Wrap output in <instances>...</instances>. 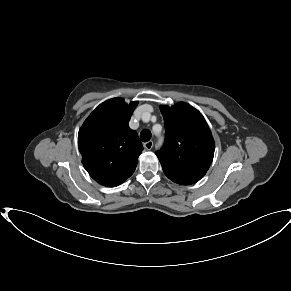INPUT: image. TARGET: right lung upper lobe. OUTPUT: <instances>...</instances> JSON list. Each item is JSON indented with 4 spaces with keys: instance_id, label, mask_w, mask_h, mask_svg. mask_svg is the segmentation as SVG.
I'll list each match as a JSON object with an SVG mask.
<instances>
[{
    "instance_id": "cb5924a9",
    "label": "right lung upper lobe",
    "mask_w": 291,
    "mask_h": 291,
    "mask_svg": "<svg viewBox=\"0 0 291 291\" xmlns=\"http://www.w3.org/2000/svg\"><path fill=\"white\" fill-rule=\"evenodd\" d=\"M137 101L112 98L100 104L78 133L82 162L99 184L115 187L129 178L142 153L137 133L128 126Z\"/></svg>"
}]
</instances>
